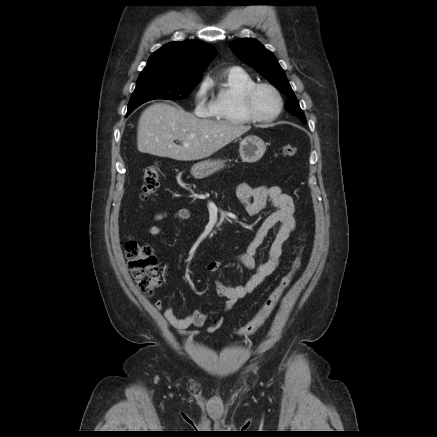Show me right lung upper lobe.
I'll return each mask as SVG.
<instances>
[{
	"instance_id": "right-lung-upper-lobe-1",
	"label": "right lung upper lobe",
	"mask_w": 437,
	"mask_h": 437,
	"mask_svg": "<svg viewBox=\"0 0 437 437\" xmlns=\"http://www.w3.org/2000/svg\"><path fill=\"white\" fill-rule=\"evenodd\" d=\"M216 49L207 43L188 40L169 43L155 51L142 72L160 70L181 78H201Z\"/></svg>"
}]
</instances>
